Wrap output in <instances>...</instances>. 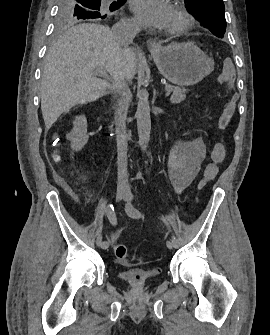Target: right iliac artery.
<instances>
[{
    "label": "right iliac artery",
    "mask_w": 270,
    "mask_h": 335,
    "mask_svg": "<svg viewBox=\"0 0 270 335\" xmlns=\"http://www.w3.org/2000/svg\"><path fill=\"white\" fill-rule=\"evenodd\" d=\"M106 215H107L110 223L115 226L117 224V218H116V214H115V211H114V206L112 204H109L106 207ZM108 247H109V242L108 241H103L102 244H101V248L102 249H107Z\"/></svg>",
    "instance_id": "right-iliac-artery-1"
}]
</instances>
